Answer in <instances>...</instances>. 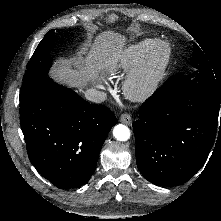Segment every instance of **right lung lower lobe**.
<instances>
[{
    "mask_svg": "<svg viewBox=\"0 0 221 221\" xmlns=\"http://www.w3.org/2000/svg\"><path fill=\"white\" fill-rule=\"evenodd\" d=\"M20 122L36 170L56 187L70 189L90 179L116 117L47 77L20 100Z\"/></svg>",
    "mask_w": 221,
    "mask_h": 221,
    "instance_id": "obj_1",
    "label": "right lung lower lobe"
}]
</instances>
